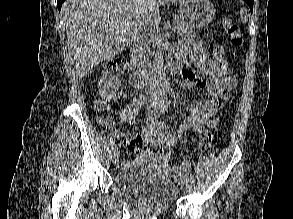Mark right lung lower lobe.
I'll return each mask as SVG.
<instances>
[{
  "instance_id": "right-lung-lower-lobe-1",
  "label": "right lung lower lobe",
  "mask_w": 293,
  "mask_h": 219,
  "mask_svg": "<svg viewBox=\"0 0 293 219\" xmlns=\"http://www.w3.org/2000/svg\"><path fill=\"white\" fill-rule=\"evenodd\" d=\"M63 2H64V0H57V7H58L59 11L61 10V5Z\"/></svg>"
}]
</instances>
